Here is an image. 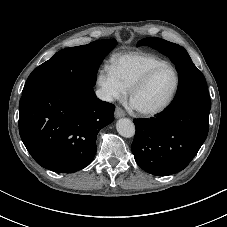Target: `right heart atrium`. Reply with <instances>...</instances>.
Listing matches in <instances>:
<instances>
[{"label": "right heart atrium", "instance_id": "right-heart-atrium-1", "mask_svg": "<svg viewBox=\"0 0 227 227\" xmlns=\"http://www.w3.org/2000/svg\"><path fill=\"white\" fill-rule=\"evenodd\" d=\"M97 84L106 101H114L124 97L126 89L118 80L111 66H103L97 74Z\"/></svg>", "mask_w": 227, "mask_h": 227}]
</instances>
